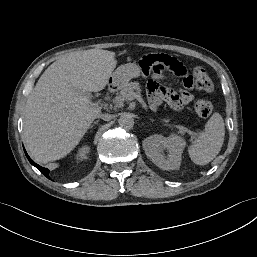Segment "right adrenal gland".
<instances>
[{
  "mask_svg": "<svg viewBox=\"0 0 257 257\" xmlns=\"http://www.w3.org/2000/svg\"><path fill=\"white\" fill-rule=\"evenodd\" d=\"M98 124V120L97 121H94L91 125H90V128H92L94 125H97Z\"/></svg>",
  "mask_w": 257,
  "mask_h": 257,
  "instance_id": "2a0ac1e0",
  "label": "right adrenal gland"
}]
</instances>
